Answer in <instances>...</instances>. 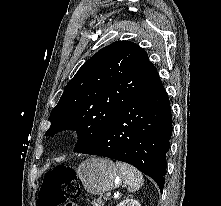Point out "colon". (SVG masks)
I'll use <instances>...</instances> for the list:
<instances>
[{
  "label": "colon",
  "mask_w": 221,
  "mask_h": 206,
  "mask_svg": "<svg viewBox=\"0 0 221 206\" xmlns=\"http://www.w3.org/2000/svg\"><path fill=\"white\" fill-rule=\"evenodd\" d=\"M79 193L76 172L69 166L54 168L45 178L39 206H60Z\"/></svg>",
  "instance_id": "1"
}]
</instances>
